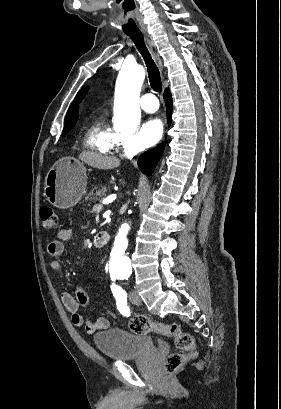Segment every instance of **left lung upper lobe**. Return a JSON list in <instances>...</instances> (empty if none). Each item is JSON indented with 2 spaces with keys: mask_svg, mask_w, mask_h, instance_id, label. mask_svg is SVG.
<instances>
[{
  "mask_svg": "<svg viewBox=\"0 0 281 409\" xmlns=\"http://www.w3.org/2000/svg\"><path fill=\"white\" fill-rule=\"evenodd\" d=\"M87 88H88L87 86L83 87L82 90H80V91L78 92V94H77V96L75 97V100H74V101H78L79 99H81V98L84 96L85 92L87 91Z\"/></svg>",
  "mask_w": 281,
  "mask_h": 409,
  "instance_id": "1",
  "label": "left lung upper lobe"
}]
</instances>
